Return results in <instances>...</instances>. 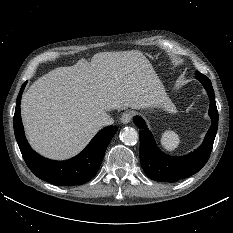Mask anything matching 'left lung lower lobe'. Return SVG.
Wrapping results in <instances>:
<instances>
[{
	"instance_id": "1",
	"label": "left lung lower lobe",
	"mask_w": 233,
	"mask_h": 233,
	"mask_svg": "<svg viewBox=\"0 0 233 233\" xmlns=\"http://www.w3.org/2000/svg\"><path fill=\"white\" fill-rule=\"evenodd\" d=\"M206 89L209 99V116L212 120L203 144L199 149L182 157H170L162 153L156 146L152 134L145 122L135 117L134 121L142 130L140 137V162L146 175L160 182H176L198 172L207 162L218 128V111L215 103V94L208 77L197 78Z\"/></svg>"
}]
</instances>
